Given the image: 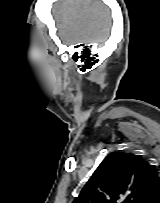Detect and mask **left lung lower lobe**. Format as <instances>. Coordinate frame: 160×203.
Segmentation results:
<instances>
[{
  "mask_svg": "<svg viewBox=\"0 0 160 203\" xmlns=\"http://www.w3.org/2000/svg\"><path fill=\"white\" fill-rule=\"evenodd\" d=\"M151 203H160V190L158 191L156 197L153 199Z\"/></svg>",
  "mask_w": 160,
  "mask_h": 203,
  "instance_id": "1",
  "label": "left lung lower lobe"
}]
</instances>
